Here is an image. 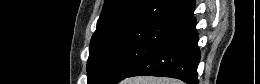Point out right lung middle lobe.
<instances>
[{
  "mask_svg": "<svg viewBox=\"0 0 260 84\" xmlns=\"http://www.w3.org/2000/svg\"><path fill=\"white\" fill-rule=\"evenodd\" d=\"M175 29L161 23H138L91 42L88 84H116L146 59Z\"/></svg>",
  "mask_w": 260,
  "mask_h": 84,
  "instance_id": "dd1d6c3e",
  "label": "right lung middle lobe"
}]
</instances>
